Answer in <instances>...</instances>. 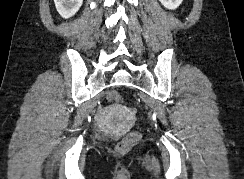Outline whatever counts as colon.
Returning <instances> with one entry per match:
<instances>
[{
    "instance_id": "obj_1",
    "label": "colon",
    "mask_w": 244,
    "mask_h": 179,
    "mask_svg": "<svg viewBox=\"0 0 244 179\" xmlns=\"http://www.w3.org/2000/svg\"><path fill=\"white\" fill-rule=\"evenodd\" d=\"M122 98V93H109L108 101H117ZM133 137H122V142H117L116 152H126V147H131Z\"/></svg>"
}]
</instances>
